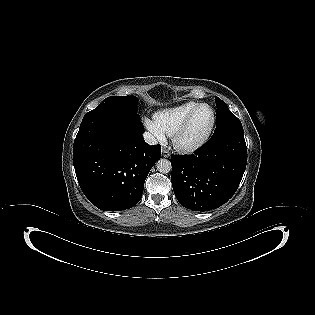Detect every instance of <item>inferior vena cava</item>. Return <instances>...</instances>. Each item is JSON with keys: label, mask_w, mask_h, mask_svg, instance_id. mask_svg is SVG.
Here are the masks:
<instances>
[{"label": "inferior vena cava", "mask_w": 315, "mask_h": 315, "mask_svg": "<svg viewBox=\"0 0 315 315\" xmlns=\"http://www.w3.org/2000/svg\"><path fill=\"white\" fill-rule=\"evenodd\" d=\"M143 136H144V140L149 145H156L158 143L157 139L149 132H145Z\"/></svg>", "instance_id": "obj_1"}]
</instances>
